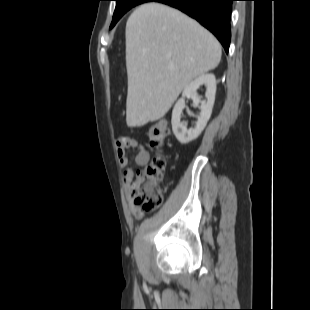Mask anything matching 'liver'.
<instances>
[{"label":"liver","mask_w":310,"mask_h":310,"mask_svg":"<svg viewBox=\"0 0 310 310\" xmlns=\"http://www.w3.org/2000/svg\"><path fill=\"white\" fill-rule=\"evenodd\" d=\"M220 60V43L195 20L163 4L139 6L126 24L128 127L164 117L181 91Z\"/></svg>","instance_id":"1"}]
</instances>
